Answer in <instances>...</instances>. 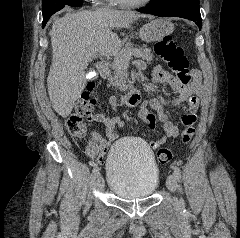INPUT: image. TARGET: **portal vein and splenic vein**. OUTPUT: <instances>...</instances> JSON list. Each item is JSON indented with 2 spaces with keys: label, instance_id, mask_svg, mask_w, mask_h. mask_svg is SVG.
<instances>
[{
  "label": "portal vein and splenic vein",
  "instance_id": "obj_1",
  "mask_svg": "<svg viewBox=\"0 0 240 238\" xmlns=\"http://www.w3.org/2000/svg\"><path fill=\"white\" fill-rule=\"evenodd\" d=\"M96 54H97V50H95L94 48L89 50V55L91 57H95ZM100 54L103 55V56L114 54L116 56L118 53L102 52ZM132 56L140 57L139 52L137 50H132V51L127 52L124 55V59H121L120 62H122V61H129L132 58Z\"/></svg>",
  "mask_w": 240,
  "mask_h": 238
}]
</instances>
